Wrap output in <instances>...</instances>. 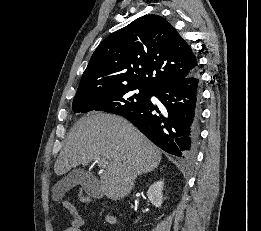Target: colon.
Here are the masks:
<instances>
[{
	"label": "colon",
	"mask_w": 261,
	"mask_h": 231,
	"mask_svg": "<svg viewBox=\"0 0 261 231\" xmlns=\"http://www.w3.org/2000/svg\"><path fill=\"white\" fill-rule=\"evenodd\" d=\"M83 201H84V202H89L90 199H89L88 197H83Z\"/></svg>",
	"instance_id": "1"
}]
</instances>
